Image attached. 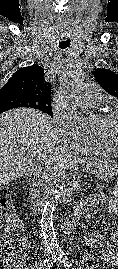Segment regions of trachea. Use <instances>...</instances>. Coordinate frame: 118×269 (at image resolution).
Instances as JSON below:
<instances>
[{
	"label": "trachea",
	"instance_id": "trachea-1",
	"mask_svg": "<svg viewBox=\"0 0 118 269\" xmlns=\"http://www.w3.org/2000/svg\"><path fill=\"white\" fill-rule=\"evenodd\" d=\"M69 45H70L69 39L59 42V48L61 49H66L67 47H69Z\"/></svg>",
	"mask_w": 118,
	"mask_h": 269
}]
</instances>
